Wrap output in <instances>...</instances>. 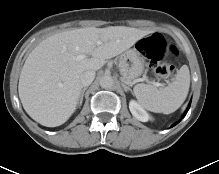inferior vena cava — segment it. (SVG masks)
Segmentation results:
<instances>
[{"mask_svg":"<svg viewBox=\"0 0 219 174\" xmlns=\"http://www.w3.org/2000/svg\"><path fill=\"white\" fill-rule=\"evenodd\" d=\"M94 78H95V71L90 70V71L84 72L81 75L80 81L83 86H88L93 82Z\"/></svg>","mask_w":219,"mask_h":174,"instance_id":"1","label":"inferior vena cava"}]
</instances>
